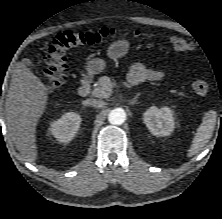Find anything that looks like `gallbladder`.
Here are the masks:
<instances>
[{"mask_svg": "<svg viewBox=\"0 0 222 219\" xmlns=\"http://www.w3.org/2000/svg\"><path fill=\"white\" fill-rule=\"evenodd\" d=\"M26 64L33 69H36V66L32 63V61H30L29 59H26Z\"/></svg>", "mask_w": 222, "mask_h": 219, "instance_id": "1", "label": "gallbladder"}]
</instances>
